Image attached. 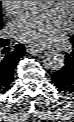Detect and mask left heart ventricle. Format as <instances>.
Wrapping results in <instances>:
<instances>
[{
	"mask_svg": "<svg viewBox=\"0 0 74 122\" xmlns=\"http://www.w3.org/2000/svg\"><path fill=\"white\" fill-rule=\"evenodd\" d=\"M56 4L59 7L63 14L69 18L70 17V9H69V1H50L49 6ZM70 20V19H69Z\"/></svg>",
	"mask_w": 74,
	"mask_h": 122,
	"instance_id": "1",
	"label": "left heart ventricle"
}]
</instances>
